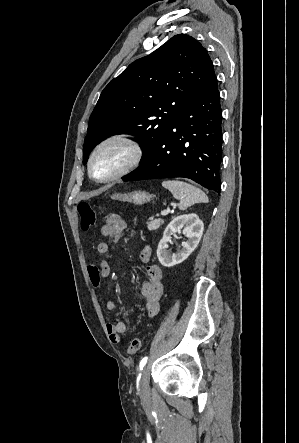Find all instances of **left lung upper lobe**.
<instances>
[{
  "label": "left lung upper lobe",
  "mask_w": 299,
  "mask_h": 443,
  "mask_svg": "<svg viewBox=\"0 0 299 443\" xmlns=\"http://www.w3.org/2000/svg\"><path fill=\"white\" fill-rule=\"evenodd\" d=\"M213 74L206 49L185 34L134 61L100 95L89 118L83 163L95 145L116 134L141 140L143 162Z\"/></svg>",
  "instance_id": "1"
}]
</instances>
